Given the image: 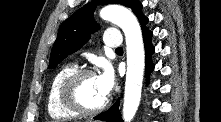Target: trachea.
<instances>
[{"instance_id": "trachea-1", "label": "trachea", "mask_w": 221, "mask_h": 122, "mask_svg": "<svg viewBox=\"0 0 221 122\" xmlns=\"http://www.w3.org/2000/svg\"><path fill=\"white\" fill-rule=\"evenodd\" d=\"M116 50L119 51V50H122V48L120 47V48H117Z\"/></svg>"}]
</instances>
